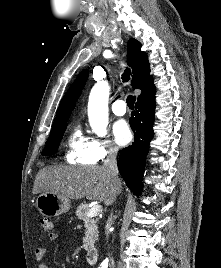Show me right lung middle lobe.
Listing matches in <instances>:
<instances>
[{
	"instance_id": "dd1d6c3e",
	"label": "right lung middle lobe",
	"mask_w": 221,
	"mask_h": 268,
	"mask_svg": "<svg viewBox=\"0 0 221 268\" xmlns=\"http://www.w3.org/2000/svg\"><path fill=\"white\" fill-rule=\"evenodd\" d=\"M66 127L67 122L59 124L57 126H53V130L48 138V141L42 152V155H52L57 151Z\"/></svg>"
}]
</instances>
